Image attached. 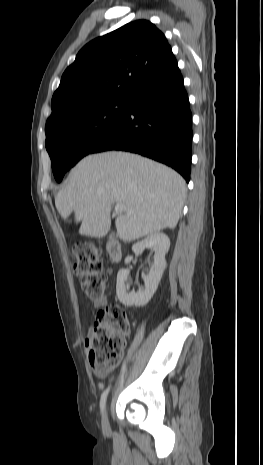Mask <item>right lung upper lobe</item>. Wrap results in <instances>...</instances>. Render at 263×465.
Masks as SVG:
<instances>
[{
	"instance_id": "cb5924a9",
	"label": "right lung upper lobe",
	"mask_w": 263,
	"mask_h": 465,
	"mask_svg": "<svg viewBox=\"0 0 263 465\" xmlns=\"http://www.w3.org/2000/svg\"><path fill=\"white\" fill-rule=\"evenodd\" d=\"M176 67L171 47L154 24L130 22L79 51L52 97L47 122L96 101L130 98Z\"/></svg>"
}]
</instances>
